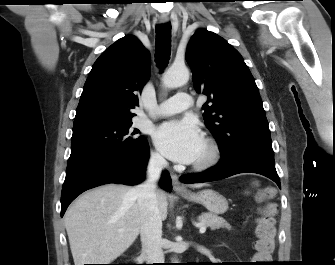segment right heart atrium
<instances>
[{
	"label": "right heart atrium",
	"instance_id": "d8ad5b80",
	"mask_svg": "<svg viewBox=\"0 0 335 265\" xmlns=\"http://www.w3.org/2000/svg\"><path fill=\"white\" fill-rule=\"evenodd\" d=\"M151 162L154 165L161 166L164 164V159L157 151H153L151 153Z\"/></svg>",
	"mask_w": 335,
	"mask_h": 265
}]
</instances>
